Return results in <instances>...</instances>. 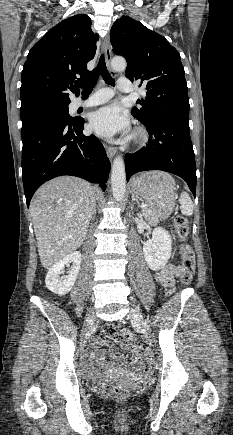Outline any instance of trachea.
<instances>
[{
    "instance_id": "obj_1",
    "label": "trachea",
    "mask_w": 233,
    "mask_h": 435,
    "mask_svg": "<svg viewBox=\"0 0 233 435\" xmlns=\"http://www.w3.org/2000/svg\"><path fill=\"white\" fill-rule=\"evenodd\" d=\"M100 74L107 84L111 86L115 85L114 79L111 77L110 73L107 70L103 54L100 56L98 65L96 68H94L89 79L77 83V85L83 89V95H89L92 92Z\"/></svg>"
}]
</instances>
